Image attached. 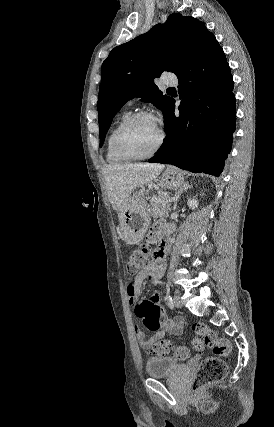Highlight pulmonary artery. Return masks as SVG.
I'll use <instances>...</instances> for the list:
<instances>
[{"instance_id":"pulmonary-artery-1","label":"pulmonary artery","mask_w":274,"mask_h":427,"mask_svg":"<svg viewBox=\"0 0 274 427\" xmlns=\"http://www.w3.org/2000/svg\"><path fill=\"white\" fill-rule=\"evenodd\" d=\"M165 82H166L168 85H173V84H175V83H176V78H175V77H173V76H168V77L165 79ZM128 104H129V105H131V102H129Z\"/></svg>"}]
</instances>
